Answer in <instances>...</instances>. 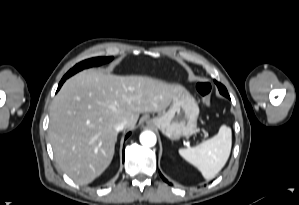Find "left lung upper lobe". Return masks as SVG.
Listing matches in <instances>:
<instances>
[{"mask_svg": "<svg viewBox=\"0 0 299 205\" xmlns=\"http://www.w3.org/2000/svg\"><path fill=\"white\" fill-rule=\"evenodd\" d=\"M215 82H216V81H215ZM216 84H217V86H218V89H219L220 93H221L222 95H224V96H227V95H228V92H227L226 88H225L222 84H220V83H218V82H216Z\"/></svg>", "mask_w": 299, "mask_h": 205, "instance_id": "1", "label": "left lung upper lobe"}]
</instances>
